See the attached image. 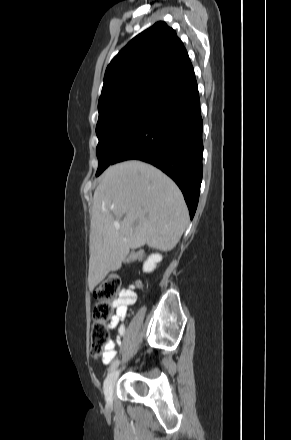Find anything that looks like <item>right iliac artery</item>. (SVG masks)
<instances>
[{"label":"right iliac artery","instance_id":"obj_1","mask_svg":"<svg viewBox=\"0 0 291 440\" xmlns=\"http://www.w3.org/2000/svg\"><path fill=\"white\" fill-rule=\"evenodd\" d=\"M119 365V360H115L112 362V364L110 365L108 371L111 372L113 370H115Z\"/></svg>","mask_w":291,"mask_h":440}]
</instances>
